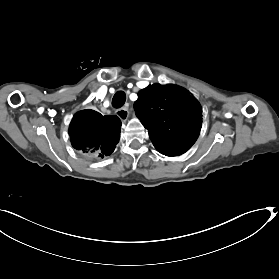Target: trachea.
I'll return each instance as SVG.
<instances>
[{"label": "trachea", "instance_id": "3493384b", "mask_svg": "<svg viewBox=\"0 0 279 279\" xmlns=\"http://www.w3.org/2000/svg\"><path fill=\"white\" fill-rule=\"evenodd\" d=\"M125 102H126V94L123 91H118L113 96L112 106L114 108H120L124 105Z\"/></svg>", "mask_w": 279, "mask_h": 279}]
</instances>
